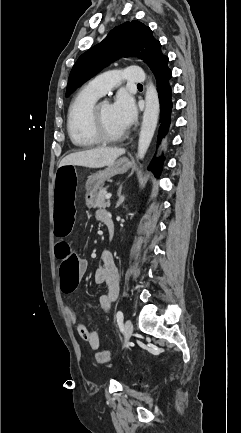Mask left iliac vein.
<instances>
[{
    "instance_id": "1",
    "label": "left iliac vein",
    "mask_w": 241,
    "mask_h": 433,
    "mask_svg": "<svg viewBox=\"0 0 241 433\" xmlns=\"http://www.w3.org/2000/svg\"><path fill=\"white\" fill-rule=\"evenodd\" d=\"M133 331V325L131 320L127 319L124 324V347H127V343L131 338Z\"/></svg>"
}]
</instances>
